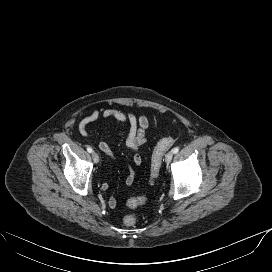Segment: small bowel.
I'll return each mask as SVG.
<instances>
[{
	"mask_svg": "<svg viewBox=\"0 0 272 272\" xmlns=\"http://www.w3.org/2000/svg\"><path fill=\"white\" fill-rule=\"evenodd\" d=\"M102 117L107 120L113 118L129 127V132L126 138V145L133 151V164L139 166L142 163V157L139 153V148L149 141L147 129L150 125V120L146 114L136 115L131 111H123L116 108H108L104 111L98 109H90L81 118L78 130L83 137H90L87 127L90 123ZM157 125V119L153 121ZM99 150L104 153L109 159L113 158V152L107 142L101 140L98 142ZM135 181V169L132 165H128V174L125 179L127 185H132ZM102 189L108 188L107 183L102 184ZM109 207L114 209L117 207L118 202L115 198L109 200Z\"/></svg>",
	"mask_w": 272,
	"mask_h": 272,
	"instance_id": "small-bowel-1",
	"label": "small bowel"
}]
</instances>
